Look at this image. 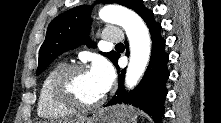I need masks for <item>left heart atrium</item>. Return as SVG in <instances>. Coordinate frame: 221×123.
<instances>
[{"label":"left heart atrium","instance_id":"39dd6f15","mask_svg":"<svg viewBox=\"0 0 221 123\" xmlns=\"http://www.w3.org/2000/svg\"><path fill=\"white\" fill-rule=\"evenodd\" d=\"M90 74L96 80L103 93H106L114 80V71L111 65L102 58L94 60Z\"/></svg>","mask_w":221,"mask_h":123}]
</instances>
